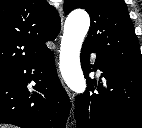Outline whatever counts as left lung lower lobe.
<instances>
[{
	"instance_id": "1",
	"label": "left lung lower lobe",
	"mask_w": 142,
	"mask_h": 128,
	"mask_svg": "<svg viewBox=\"0 0 142 128\" xmlns=\"http://www.w3.org/2000/svg\"><path fill=\"white\" fill-rule=\"evenodd\" d=\"M92 52L97 55L94 66L89 61ZM81 67L88 90L75 99L77 128H142V73L115 68L84 44ZM97 68L103 72L104 83L89 77ZM94 86H97L96 90Z\"/></svg>"
}]
</instances>
